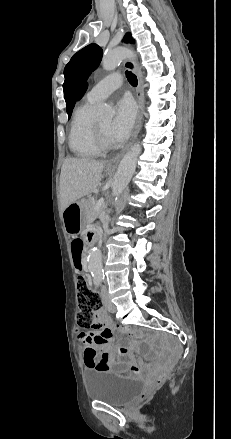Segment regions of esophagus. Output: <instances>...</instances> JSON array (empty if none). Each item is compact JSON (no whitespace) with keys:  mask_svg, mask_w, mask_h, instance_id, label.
Listing matches in <instances>:
<instances>
[{"mask_svg":"<svg viewBox=\"0 0 231 439\" xmlns=\"http://www.w3.org/2000/svg\"><path fill=\"white\" fill-rule=\"evenodd\" d=\"M124 66H125L126 69L132 71L137 76L138 86H137V89H136V100H137V104H138V114H137V120H136L135 129H134V132H133L132 137L130 139V142L128 143V145L121 152H119L114 158L110 159L107 162L106 166L108 168H110V169H115L117 167L120 159L123 157L125 152L130 148L132 143L135 141V139L137 137V134L139 132L140 123H141V111H142V107H143V82H142V76H141V73L138 70L135 62L132 59H127L124 62Z\"/></svg>","mask_w":231,"mask_h":439,"instance_id":"1","label":"esophagus"}]
</instances>
